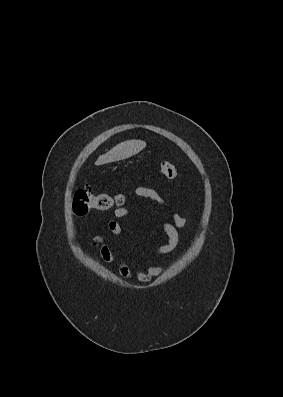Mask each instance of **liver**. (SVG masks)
<instances>
[{
    "label": "liver",
    "instance_id": "liver-1",
    "mask_svg": "<svg viewBox=\"0 0 283 397\" xmlns=\"http://www.w3.org/2000/svg\"><path fill=\"white\" fill-rule=\"evenodd\" d=\"M146 147V142L142 140H127L114 146L107 153L98 157L95 165H103L129 158Z\"/></svg>",
    "mask_w": 283,
    "mask_h": 397
}]
</instances>
